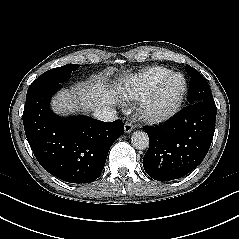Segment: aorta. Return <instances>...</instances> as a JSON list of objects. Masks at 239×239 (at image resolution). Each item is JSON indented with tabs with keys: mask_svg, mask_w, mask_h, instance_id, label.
Instances as JSON below:
<instances>
[{
	"mask_svg": "<svg viewBox=\"0 0 239 239\" xmlns=\"http://www.w3.org/2000/svg\"><path fill=\"white\" fill-rule=\"evenodd\" d=\"M131 144L138 150H144L149 146V137L146 132L135 131L131 136Z\"/></svg>",
	"mask_w": 239,
	"mask_h": 239,
	"instance_id": "aorta-1",
	"label": "aorta"
}]
</instances>
